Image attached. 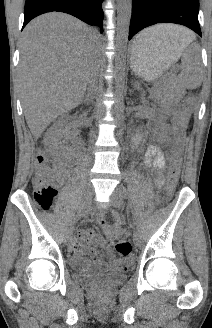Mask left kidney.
<instances>
[{"instance_id":"1","label":"left kidney","mask_w":212,"mask_h":328,"mask_svg":"<svg viewBox=\"0 0 212 328\" xmlns=\"http://www.w3.org/2000/svg\"><path fill=\"white\" fill-rule=\"evenodd\" d=\"M159 124H160L161 126H164V123H163L162 120H159Z\"/></svg>"}]
</instances>
